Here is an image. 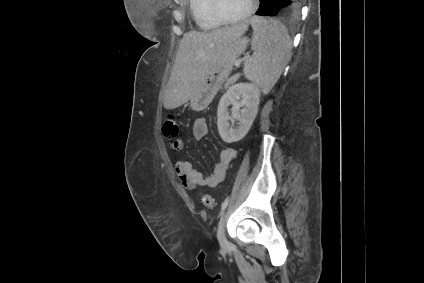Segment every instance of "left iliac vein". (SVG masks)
<instances>
[{
	"label": "left iliac vein",
	"instance_id": "obj_1",
	"mask_svg": "<svg viewBox=\"0 0 424 283\" xmlns=\"http://www.w3.org/2000/svg\"><path fill=\"white\" fill-rule=\"evenodd\" d=\"M217 238L222 248L224 249L228 248L229 243L225 235V215H222L220 219L218 231H217Z\"/></svg>",
	"mask_w": 424,
	"mask_h": 283
}]
</instances>
